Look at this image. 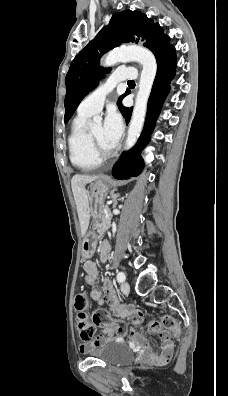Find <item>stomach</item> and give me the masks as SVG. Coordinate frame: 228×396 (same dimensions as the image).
<instances>
[{"label":"stomach","instance_id":"stomach-1","mask_svg":"<svg viewBox=\"0 0 228 396\" xmlns=\"http://www.w3.org/2000/svg\"><path fill=\"white\" fill-rule=\"evenodd\" d=\"M110 181L108 178L102 176L98 178L92 185L89 192L90 212L94 221L103 219L105 214L104 205L105 197L110 190ZM98 241V235L94 230L88 231L82 239L81 254L83 259H89L95 252Z\"/></svg>","mask_w":228,"mask_h":396}]
</instances>
